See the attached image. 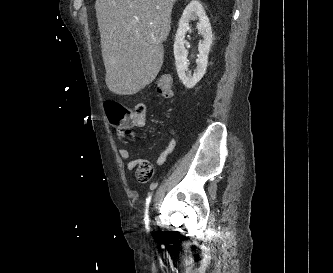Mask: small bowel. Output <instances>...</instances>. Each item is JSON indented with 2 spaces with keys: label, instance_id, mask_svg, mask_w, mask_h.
Instances as JSON below:
<instances>
[{
  "label": "small bowel",
  "instance_id": "small-bowel-1",
  "mask_svg": "<svg viewBox=\"0 0 333 273\" xmlns=\"http://www.w3.org/2000/svg\"><path fill=\"white\" fill-rule=\"evenodd\" d=\"M131 112L135 113V122L139 123L138 127H142L145 123L148 122V112L146 111V103H144V100H133ZM176 145V139L172 138L166 148L155 158L154 164L156 166L163 165L167 161L169 156L174 152ZM119 155L122 159L128 160V170H133L136 168L138 160L132 158V153L129 149L120 148Z\"/></svg>",
  "mask_w": 333,
  "mask_h": 273
}]
</instances>
